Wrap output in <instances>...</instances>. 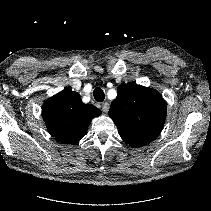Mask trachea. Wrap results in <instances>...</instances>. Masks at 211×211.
I'll return each mask as SVG.
<instances>
[{"mask_svg":"<svg viewBox=\"0 0 211 211\" xmlns=\"http://www.w3.org/2000/svg\"><path fill=\"white\" fill-rule=\"evenodd\" d=\"M93 96L97 102H102L105 99L104 91L99 87L94 89Z\"/></svg>","mask_w":211,"mask_h":211,"instance_id":"3493384b","label":"trachea"}]
</instances>
